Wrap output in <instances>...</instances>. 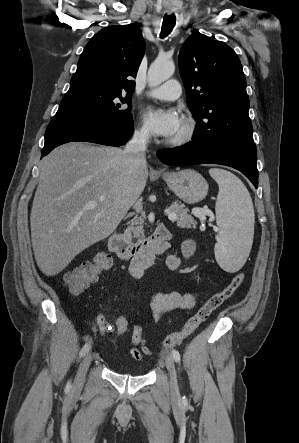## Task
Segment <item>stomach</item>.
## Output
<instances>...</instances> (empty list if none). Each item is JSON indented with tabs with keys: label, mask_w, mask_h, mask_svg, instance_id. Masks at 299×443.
Masks as SVG:
<instances>
[{
	"label": "stomach",
	"mask_w": 299,
	"mask_h": 443,
	"mask_svg": "<svg viewBox=\"0 0 299 443\" xmlns=\"http://www.w3.org/2000/svg\"><path fill=\"white\" fill-rule=\"evenodd\" d=\"M163 179L176 196L188 204L203 200L208 193V183L200 173L192 169L165 172Z\"/></svg>",
	"instance_id": "stomach-1"
}]
</instances>
